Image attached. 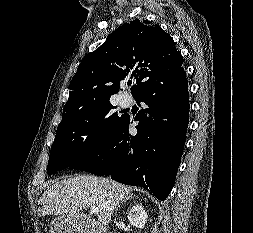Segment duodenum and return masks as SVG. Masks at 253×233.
Masks as SVG:
<instances>
[{
	"mask_svg": "<svg viewBox=\"0 0 253 233\" xmlns=\"http://www.w3.org/2000/svg\"><path fill=\"white\" fill-rule=\"evenodd\" d=\"M88 233H97L95 229L90 230Z\"/></svg>",
	"mask_w": 253,
	"mask_h": 233,
	"instance_id": "duodenum-1",
	"label": "duodenum"
}]
</instances>
